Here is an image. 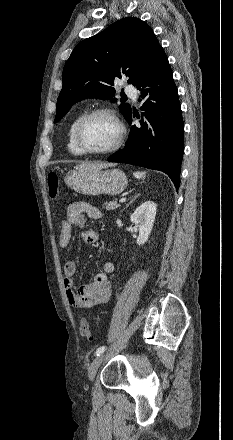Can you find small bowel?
I'll return each instance as SVG.
<instances>
[{"label":"small bowel","mask_w":233,"mask_h":440,"mask_svg":"<svg viewBox=\"0 0 233 440\" xmlns=\"http://www.w3.org/2000/svg\"><path fill=\"white\" fill-rule=\"evenodd\" d=\"M102 217L101 211L88 202L71 203L67 207L66 218L61 223L60 247L65 248L69 245L72 231L84 228L87 219L99 220ZM81 237L84 243L95 244L99 240V233L94 229L83 230ZM113 271L114 264L106 261L92 282L74 290L76 263L73 260L66 261L63 269V284L68 303L74 308H93L106 303L111 295L108 275Z\"/></svg>","instance_id":"c3829d8e"}]
</instances>
